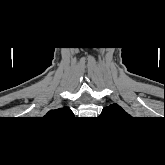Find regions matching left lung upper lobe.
Masks as SVG:
<instances>
[{"mask_svg": "<svg viewBox=\"0 0 165 165\" xmlns=\"http://www.w3.org/2000/svg\"><path fill=\"white\" fill-rule=\"evenodd\" d=\"M102 116L122 117L128 114L116 103L105 107L101 113Z\"/></svg>", "mask_w": 165, "mask_h": 165, "instance_id": "1", "label": "left lung upper lobe"}]
</instances>
